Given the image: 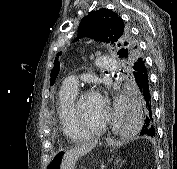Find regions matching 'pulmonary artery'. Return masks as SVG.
<instances>
[{"instance_id": "e3ab8cb5", "label": "pulmonary artery", "mask_w": 177, "mask_h": 169, "mask_svg": "<svg viewBox=\"0 0 177 169\" xmlns=\"http://www.w3.org/2000/svg\"><path fill=\"white\" fill-rule=\"evenodd\" d=\"M97 64L99 68H112L116 65L115 62L108 57H101ZM78 82L76 75H70L64 80L62 87L67 90L78 91Z\"/></svg>"}]
</instances>
